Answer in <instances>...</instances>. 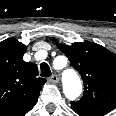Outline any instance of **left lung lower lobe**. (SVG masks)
<instances>
[{
  "label": "left lung lower lobe",
  "mask_w": 116,
  "mask_h": 116,
  "mask_svg": "<svg viewBox=\"0 0 116 116\" xmlns=\"http://www.w3.org/2000/svg\"><path fill=\"white\" fill-rule=\"evenodd\" d=\"M80 116H103L106 112H101L97 110H79L72 108Z\"/></svg>",
  "instance_id": "1"
}]
</instances>
